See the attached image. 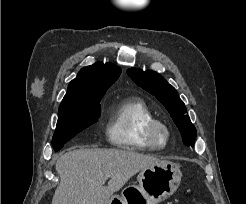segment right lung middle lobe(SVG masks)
<instances>
[{"mask_svg":"<svg viewBox=\"0 0 246 204\" xmlns=\"http://www.w3.org/2000/svg\"><path fill=\"white\" fill-rule=\"evenodd\" d=\"M102 97H89L80 102L60 104L57 127L52 139L55 151L60 150L71 138L98 121Z\"/></svg>","mask_w":246,"mask_h":204,"instance_id":"1","label":"right lung middle lobe"}]
</instances>
